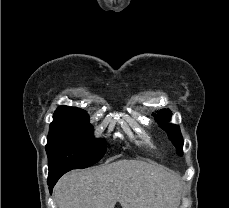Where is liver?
Instances as JSON below:
<instances>
[{
  "instance_id": "obj_1",
  "label": "liver",
  "mask_w": 229,
  "mask_h": 208,
  "mask_svg": "<svg viewBox=\"0 0 229 208\" xmlns=\"http://www.w3.org/2000/svg\"><path fill=\"white\" fill-rule=\"evenodd\" d=\"M182 186L160 164L119 160L65 174L54 188L58 208H178Z\"/></svg>"
}]
</instances>
